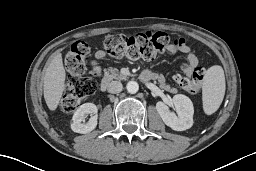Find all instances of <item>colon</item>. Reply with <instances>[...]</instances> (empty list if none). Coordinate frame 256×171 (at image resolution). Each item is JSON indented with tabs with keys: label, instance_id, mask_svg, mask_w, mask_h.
Wrapping results in <instances>:
<instances>
[{
	"label": "colon",
	"instance_id": "colon-1",
	"mask_svg": "<svg viewBox=\"0 0 256 171\" xmlns=\"http://www.w3.org/2000/svg\"><path fill=\"white\" fill-rule=\"evenodd\" d=\"M170 42L167 32H143L135 35H110L104 41L105 52L112 58L127 56L131 59H154L162 54ZM90 48L84 41L74 42L65 57V67L69 72L61 108L65 112L76 110L81 102L96 89L93 73H88L87 62ZM204 69L196 67L191 76L176 74L174 81L184 91L196 93L202 86Z\"/></svg>",
	"mask_w": 256,
	"mask_h": 171
}]
</instances>
